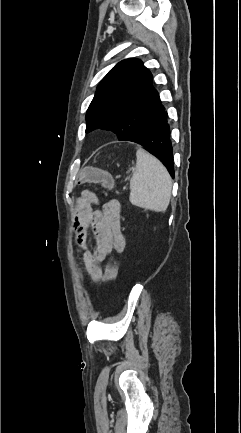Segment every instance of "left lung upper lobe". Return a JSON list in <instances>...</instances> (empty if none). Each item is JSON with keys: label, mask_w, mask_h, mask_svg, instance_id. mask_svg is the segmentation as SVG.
Wrapping results in <instances>:
<instances>
[{"label": "left lung upper lobe", "mask_w": 241, "mask_h": 433, "mask_svg": "<svg viewBox=\"0 0 241 433\" xmlns=\"http://www.w3.org/2000/svg\"><path fill=\"white\" fill-rule=\"evenodd\" d=\"M151 72L136 58L116 64L102 79L86 114V132L101 128L120 141L144 129L162 109Z\"/></svg>", "instance_id": "left-lung-upper-lobe-1"}]
</instances>
